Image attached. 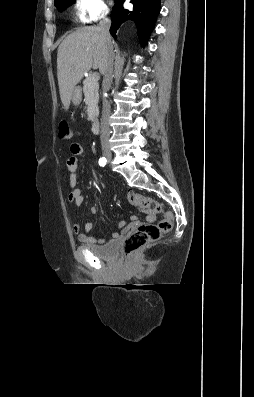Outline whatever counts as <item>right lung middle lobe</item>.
Listing matches in <instances>:
<instances>
[{
	"label": "right lung middle lobe",
	"mask_w": 254,
	"mask_h": 397,
	"mask_svg": "<svg viewBox=\"0 0 254 397\" xmlns=\"http://www.w3.org/2000/svg\"><path fill=\"white\" fill-rule=\"evenodd\" d=\"M75 0H56L55 6L59 11L65 10L69 5L73 4Z\"/></svg>",
	"instance_id": "dd1d6c3e"
}]
</instances>
